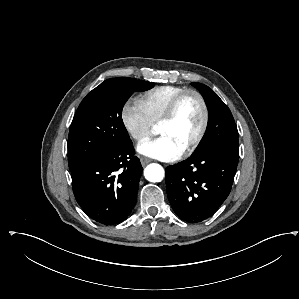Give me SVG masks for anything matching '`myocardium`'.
Here are the masks:
<instances>
[{
	"label": "myocardium",
	"mask_w": 299,
	"mask_h": 299,
	"mask_svg": "<svg viewBox=\"0 0 299 299\" xmlns=\"http://www.w3.org/2000/svg\"><path fill=\"white\" fill-rule=\"evenodd\" d=\"M190 95L195 96L199 100L201 107H202L203 117H202V122H201V125H200L197 135L188 144V146L184 149V151H183L184 154L191 153L199 146V144L202 142V140L206 134L207 128H208L210 114H209V108H208L207 102H206L205 98L203 97V95L199 91L194 90V89H186L185 91L181 92L179 95H177L173 99V101L169 105L168 109L166 110L164 116L161 118V120L158 123V126H160V125L172 122L176 117V114L179 110L180 105L182 104L184 99Z\"/></svg>",
	"instance_id": "myocardium-1"
}]
</instances>
